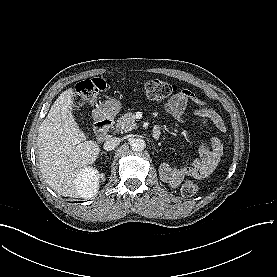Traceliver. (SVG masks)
<instances>
[{"label":"liver","instance_id":"obj_1","mask_svg":"<svg viewBox=\"0 0 277 277\" xmlns=\"http://www.w3.org/2000/svg\"><path fill=\"white\" fill-rule=\"evenodd\" d=\"M74 91L69 88L55 100L37 136L39 168L48 185L62 196L79 197L77 174L92 165L99 153L95 141H86L72 114Z\"/></svg>","mask_w":277,"mask_h":277}]
</instances>
